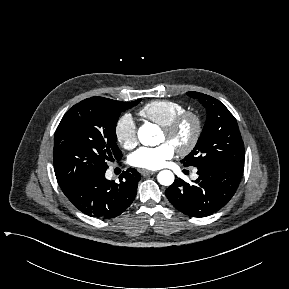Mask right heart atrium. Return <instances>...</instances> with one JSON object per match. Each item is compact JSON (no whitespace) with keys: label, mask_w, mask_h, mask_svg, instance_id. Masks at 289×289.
<instances>
[{"label":"right heart atrium","mask_w":289,"mask_h":289,"mask_svg":"<svg viewBox=\"0 0 289 289\" xmlns=\"http://www.w3.org/2000/svg\"><path fill=\"white\" fill-rule=\"evenodd\" d=\"M117 142L125 149H132L137 144V127L133 117L126 113L119 117L115 125Z\"/></svg>","instance_id":"obj_1"}]
</instances>
